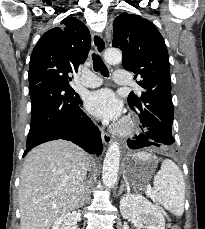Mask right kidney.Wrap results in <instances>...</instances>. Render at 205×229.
Instances as JSON below:
<instances>
[{"instance_id":"obj_1","label":"right kidney","mask_w":205,"mask_h":229,"mask_svg":"<svg viewBox=\"0 0 205 229\" xmlns=\"http://www.w3.org/2000/svg\"><path fill=\"white\" fill-rule=\"evenodd\" d=\"M72 216L66 213L55 220L52 229H72Z\"/></svg>"}]
</instances>
